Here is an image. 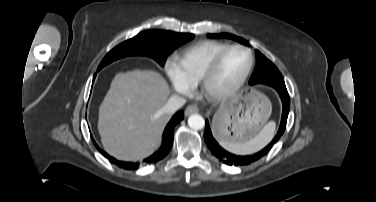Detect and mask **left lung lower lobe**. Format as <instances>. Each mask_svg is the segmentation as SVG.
Returning a JSON list of instances; mask_svg holds the SVG:
<instances>
[{"label":"left lung lower lobe","mask_w":376,"mask_h":202,"mask_svg":"<svg viewBox=\"0 0 376 202\" xmlns=\"http://www.w3.org/2000/svg\"><path fill=\"white\" fill-rule=\"evenodd\" d=\"M274 88L279 93L280 98L282 100V104H283L281 124L272 142L269 145H267L263 150H261L260 152L256 154L249 155V156H236L225 151L223 148L219 146V144L213 138L209 123L206 120L205 132H204L205 143L207 147L210 149L211 153L215 155L220 161H222L223 163L227 165H236V166L251 164L253 162L258 161L263 156L267 155V153L270 151L274 143H276L279 140V138L284 133L285 128H286V122H287L289 108H290V97L286 88L280 87V86H276Z\"/></svg>","instance_id":"0a47b994"}]
</instances>
